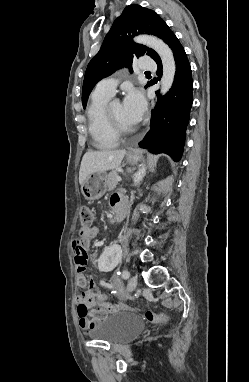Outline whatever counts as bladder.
Instances as JSON below:
<instances>
[{
  "mask_svg": "<svg viewBox=\"0 0 249 382\" xmlns=\"http://www.w3.org/2000/svg\"><path fill=\"white\" fill-rule=\"evenodd\" d=\"M144 329L143 319L136 313H117L104 318L89 336L107 341L110 344H120L135 338Z\"/></svg>",
  "mask_w": 249,
  "mask_h": 382,
  "instance_id": "bladder-1",
  "label": "bladder"
}]
</instances>
